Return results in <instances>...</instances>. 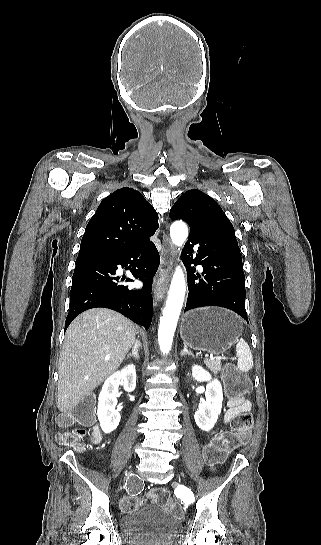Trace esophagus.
I'll return each instance as SVG.
<instances>
[{"label":"esophagus","instance_id":"obj_1","mask_svg":"<svg viewBox=\"0 0 321 545\" xmlns=\"http://www.w3.org/2000/svg\"><path fill=\"white\" fill-rule=\"evenodd\" d=\"M174 260V247L167 236L162 240L161 263L159 273L157 275V286L154 290V298L156 302L162 300L166 294L168 281Z\"/></svg>","mask_w":321,"mask_h":545}]
</instances>
